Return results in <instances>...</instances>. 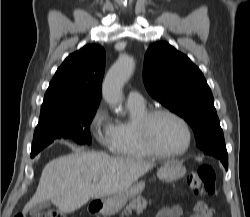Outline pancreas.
Returning a JSON list of instances; mask_svg holds the SVG:
<instances>
[{
	"label": "pancreas",
	"mask_w": 250,
	"mask_h": 217,
	"mask_svg": "<svg viewBox=\"0 0 250 217\" xmlns=\"http://www.w3.org/2000/svg\"><path fill=\"white\" fill-rule=\"evenodd\" d=\"M147 204L148 202L141 195H138L137 198L133 199L129 205L126 206L122 214H127V212H131L132 210L142 212L147 207Z\"/></svg>",
	"instance_id": "obj_1"
}]
</instances>
